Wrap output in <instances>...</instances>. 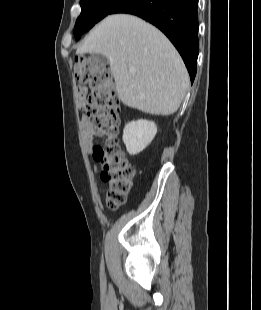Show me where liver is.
Listing matches in <instances>:
<instances>
[{
    "mask_svg": "<svg viewBox=\"0 0 261 310\" xmlns=\"http://www.w3.org/2000/svg\"><path fill=\"white\" fill-rule=\"evenodd\" d=\"M76 53L106 56L119 99L145 113L173 114L189 87L188 72L171 42L156 27L133 15L107 16Z\"/></svg>",
    "mask_w": 261,
    "mask_h": 310,
    "instance_id": "6515ba94",
    "label": "liver"
}]
</instances>
